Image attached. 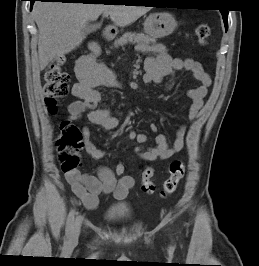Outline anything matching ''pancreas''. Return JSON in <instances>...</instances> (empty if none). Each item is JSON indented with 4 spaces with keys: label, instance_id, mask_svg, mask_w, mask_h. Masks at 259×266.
<instances>
[{
    "label": "pancreas",
    "instance_id": "cf45deb5",
    "mask_svg": "<svg viewBox=\"0 0 259 266\" xmlns=\"http://www.w3.org/2000/svg\"><path fill=\"white\" fill-rule=\"evenodd\" d=\"M128 43L140 45L143 49L152 51L156 40L143 33H125L114 42V47L123 46Z\"/></svg>",
    "mask_w": 259,
    "mask_h": 266
}]
</instances>
